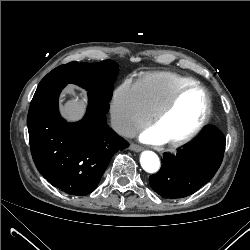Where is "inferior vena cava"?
Wrapping results in <instances>:
<instances>
[{"instance_id":"602c4592","label":"inferior vena cava","mask_w":250,"mask_h":250,"mask_svg":"<svg viewBox=\"0 0 250 250\" xmlns=\"http://www.w3.org/2000/svg\"><path fill=\"white\" fill-rule=\"evenodd\" d=\"M111 127L117 134L121 136L131 138L135 135V131L133 130L131 125L122 119L112 118Z\"/></svg>"}]
</instances>
